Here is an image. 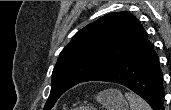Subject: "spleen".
I'll return each instance as SVG.
<instances>
[{"mask_svg": "<svg viewBox=\"0 0 171 110\" xmlns=\"http://www.w3.org/2000/svg\"><path fill=\"white\" fill-rule=\"evenodd\" d=\"M125 97L129 101L130 110H152L149 104L137 94L126 92Z\"/></svg>", "mask_w": 171, "mask_h": 110, "instance_id": "obj_1", "label": "spleen"}]
</instances>
